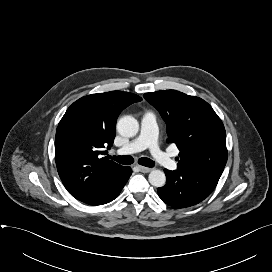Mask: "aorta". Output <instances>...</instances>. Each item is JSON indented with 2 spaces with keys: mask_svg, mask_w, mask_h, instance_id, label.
<instances>
[{
  "mask_svg": "<svg viewBox=\"0 0 272 272\" xmlns=\"http://www.w3.org/2000/svg\"><path fill=\"white\" fill-rule=\"evenodd\" d=\"M117 130L122 136L133 137L138 133L139 123L130 115L123 116L117 122ZM148 180L152 186L162 187L165 185L166 176L161 170H152L148 176Z\"/></svg>",
  "mask_w": 272,
  "mask_h": 272,
  "instance_id": "1",
  "label": "aorta"
}]
</instances>
